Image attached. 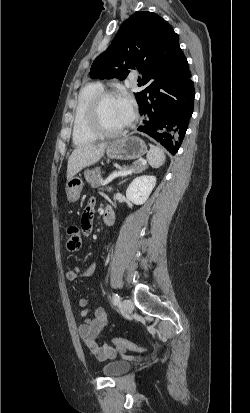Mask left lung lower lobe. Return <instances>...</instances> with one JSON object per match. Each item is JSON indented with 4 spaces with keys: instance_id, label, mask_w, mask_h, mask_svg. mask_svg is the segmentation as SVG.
I'll return each mask as SVG.
<instances>
[{
    "instance_id": "1",
    "label": "left lung lower lobe",
    "mask_w": 250,
    "mask_h": 413,
    "mask_svg": "<svg viewBox=\"0 0 250 413\" xmlns=\"http://www.w3.org/2000/svg\"><path fill=\"white\" fill-rule=\"evenodd\" d=\"M158 52L156 69L143 80V85H149L136 94L143 116L137 130L174 154L180 148L193 113L195 91L178 36L161 39Z\"/></svg>"
}]
</instances>
